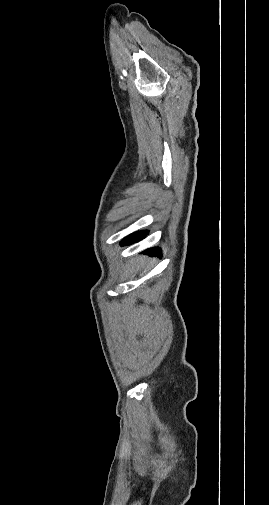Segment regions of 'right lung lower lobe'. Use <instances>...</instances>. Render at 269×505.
<instances>
[{"label": "right lung lower lobe", "mask_w": 269, "mask_h": 505, "mask_svg": "<svg viewBox=\"0 0 269 505\" xmlns=\"http://www.w3.org/2000/svg\"><path fill=\"white\" fill-rule=\"evenodd\" d=\"M146 235H147L146 231L135 232V233L129 235L128 237H126L125 239H123L122 242H121V245L125 246V245L133 244L134 242H138L141 239H143ZM146 253L149 254V255H158V256H160V250L158 248L148 249V250H146Z\"/></svg>", "instance_id": "1"}]
</instances>
